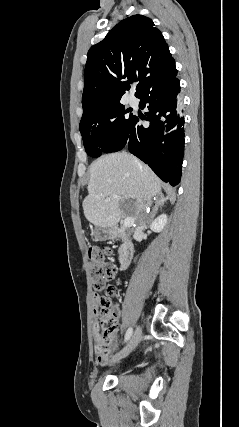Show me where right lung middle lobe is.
I'll return each instance as SVG.
<instances>
[{
  "label": "right lung middle lobe",
  "instance_id": "dd1d6c3e",
  "mask_svg": "<svg viewBox=\"0 0 239 427\" xmlns=\"http://www.w3.org/2000/svg\"><path fill=\"white\" fill-rule=\"evenodd\" d=\"M120 101L100 104L82 116L80 132L86 153L99 157L120 150L127 140L133 115Z\"/></svg>",
  "mask_w": 239,
  "mask_h": 427
}]
</instances>
